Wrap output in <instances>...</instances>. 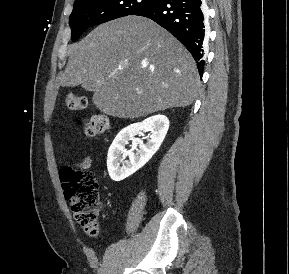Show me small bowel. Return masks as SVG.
Wrapping results in <instances>:
<instances>
[{
	"mask_svg": "<svg viewBox=\"0 0 289 274\" xmlns=\"http://www.w3.org/2000/svg\"><path fill=\"white\" fill-rule=\"evenodd\" d=\"M93 159L89 156L85 157L82 161H78L74 163V166L81 170H87L90 168Z\"/></svg>",
	"mask_w": 289,
	"mask_h": 274,
	"instance_id": "obj_1",
	"label": "small bowel"
}]
</instances>
